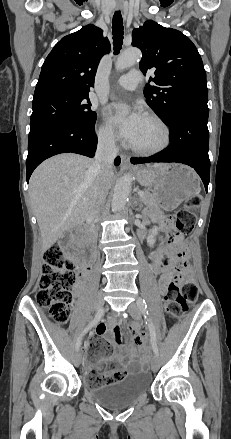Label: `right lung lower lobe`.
Wrapping results in <instances>:
<instances>
[{
	"label": "right lung lower lobe",
	"mask_w": 231,
	"mask_h": 439,
	"mask_svg": "<svg viewBox=\"0 0 231 439\" xmlns=\"http://www.w3.org/2000/svg\"><path fill=\"white\" fill-rule=\"evenodd\" d=\"M95 123L62 120L30 131L26 160L27 181L33 170L45 159L60 153L73 152L93 157L97 148ZM120 164V158L115 159Z\"/></svg>",
	"instance_id": "98d812e1"
}]
</instances>
